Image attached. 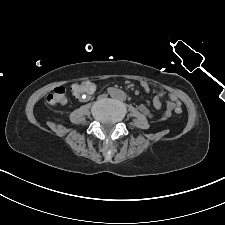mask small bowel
Segmentation results:
<instances>
[{"instance_id":"small-bowel-1","label":"small bowel","mask_w":225,"mask_h":225,"mask_svg":"<svg viewBox=\"0 0 225 225\" xmlns=\"http://www.w3.org/2000/svg\"><path fill=\"white\" fill-rule=\"evenodd\" d=\"M139 85L146 91L149 92L150 91V87L149 84L145 81H141L139 83ZM96 87L94 85V89L88 93H82L80 95H74L76 97L77 100L79 101H83L87 95H91L95 92ZM165 99V107L163 109V102L162 100ZM180 102L177 98L176 95L172 94V93H168L165 91H161L159 92L153 99V105L155 107V109L159 112H161V114L158 116L157 120L159 121H166L168 119H170L171 115H172V111L174 110V108L179 105ZM140 111L142 112V114H144L145 116L149 117V118H153L154 115L152 114V112L148 109V107L141 105L139 107Z\"/></svg>"}]
</instances>
